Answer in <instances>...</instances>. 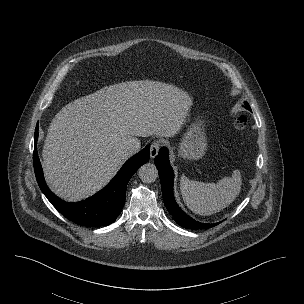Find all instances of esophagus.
I'll return each mask as SVG.
<instances>
[{
	"instance_id": "esophagus-1",
	"label": "esophagus",
	"mask_w": 304,
	"mask_h": 304,
	"mask_svg": "<svg viewBox=\"0 0 304 304\" xmlns=\"http://www.w3.org/2000/svg\"><path fill=\"white\" fill-rule=\"evenodd\" d=\"M160 142L159 141H154L151 145H150V157L153 159L157 154L158 151L160 149Z\"/></svg>"
}]
</instances>
